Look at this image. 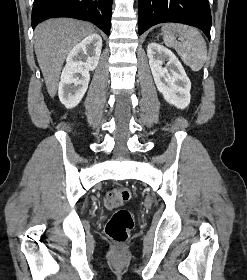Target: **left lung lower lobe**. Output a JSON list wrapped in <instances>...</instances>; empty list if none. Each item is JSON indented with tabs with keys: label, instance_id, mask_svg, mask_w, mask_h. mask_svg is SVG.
Listing matches in <instances>:
<instances>
[{
	"label": "left lung lower lobe",
	"instance_id": "left-lung-lower-lobe-1",
	"mask_svg": "<svg viewBox=\"0 0 247 280\" xmlns=\"http://www.w3.org/2000/svg\"><path fill=\"white\" fill-rule=\"evenodd\" d=\"M177 22L201 29L210 39L208 0H138L139 35L158 23Z\"/></svg>",
	"mask_w": 247,
	"mask_h": 280
}]
</instances>
